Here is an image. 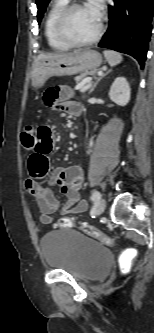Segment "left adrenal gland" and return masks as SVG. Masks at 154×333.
<instances>
[{"instance_id":"obj_1","label":"left adrenal gland","mask_w":154,"mask_h":333,"mask_svg":"<svg viewBox=\"0 0 154 333\" xmlns=\"http://www.w3.org/2000/svg\"><path fill=\"white\" fill-rule=\"evenodd\" d=\"M108 73H110V71L109 72H107L106 74H104L103 76H101L95 83H94V85L91 87V89H90V93H92L93 91H94V89H95V87L97 86V84H98V82L103 78V77H105Z\"/></svg>"}]
</instances>
